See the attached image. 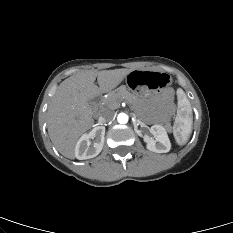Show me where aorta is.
<instances>
[{"label":"aorta","mask_w":233,"mask_h":233,"mask_svg":"<svg viewBox=\"0 0 233 233\" xmlns=\"http://www.w3.org/2000/svg\"><path fill=\"white\" fill-rule=\"evenodd\" d=\"M117 121L120 124H126L128 122V115L125 113H119L117 116Z\"/></svg>","instance_id":"1"}]
</instances>
